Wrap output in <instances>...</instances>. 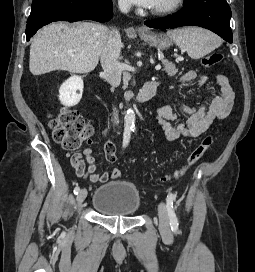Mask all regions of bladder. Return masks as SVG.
Wrapping results in <instances>:
<instances>
[{
    "mask_svg": "<svg viewBox=\"0 0 255 272\" xmlns=\"http://www.w3.org/2000/svg\"><path fill=\"white\" fill-rule=\"evenodd\" d=\"M92 206L104 216H132L140 209L141 195L129 181H109L95 190Z\"/></svg>",
    "mask_w": 255,
    "mask_h": 272,
    "instance_id": "obj_1",
    "label": "bladder"
}]
</instances>
